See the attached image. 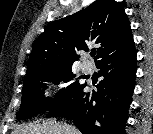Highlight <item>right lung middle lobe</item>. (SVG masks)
Returning a JSON list of instances; mask_svg holds the SVG:
<instances>
[{
    "mask_svg": "<svg viewBox=\"0 0 153 134\" xmlns=\"http://www.w3.org/2000/svg\"><path fill=\"white\" fill-rule=\"evenodd\" d=\"M75 75L71 66L59 67L37 73L24 79L22 100L18 120L30 118L43 112H47L58 105L70 100L85 84L74 81ZM58 85L60 82L69 83L59 90L54 99L44 96L48 83Z\"/></svg>",
    "mask_w": 153,
    "mask_h": 134,
    "instance_id": "1",
    "label": "right lung middle lobe"
}]
</instances>
